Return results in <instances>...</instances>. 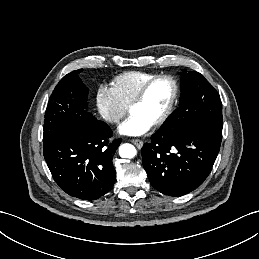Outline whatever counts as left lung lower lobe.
Returning a JSON list of instances; mask_svg holds the SVG:
<instances>
[{
	"label": "left lung lower lobe",
	"mask_w": 259,
	"mask_h": 259,
	"mask_svg": "<svg viewBox=\"0 0 259 259\" xmlns=\"http://www.w3.org/2000/svg\"><path fill=\"white\" fill-rule=\"evenodd\" d=\"M222 125L203 121L177 135L157 131L141 149L150 183L168 196H181L200 186L220 150Z\"/></svg>",
	"instance_id": "left-lung-lower-lobe-1"
}]
</instances>
